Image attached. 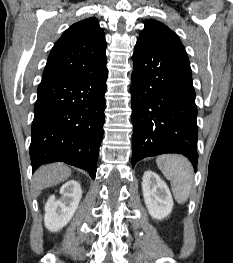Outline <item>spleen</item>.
<instances>
[{
	"label": "spleen",
	"instance_id": "1",
	"mask_svg": "<svg viewBox=\"0 0 233 263\" xmlns=\"http://www.w3.org/2000/svg\"><path fill=\"white\" fill-rule=\"evenodd\" d=\"M156 163L164 176L171 181L175 200L179 204L185 203L193 184V168L189 160L181 155L167 154L159 156Z\"/></svg>",
	"mask_w": 233,
	"mask_h": 263
}]
</instances>
